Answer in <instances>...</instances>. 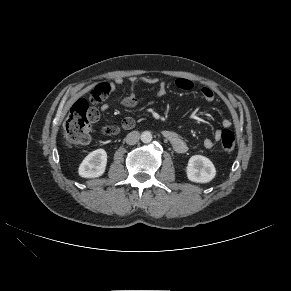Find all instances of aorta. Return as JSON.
Wrapping results in <instances>:
<instances>
[{"label": "aorta", "instance_id": "762f6f07", "mask_svg": "<svg viewBox=\"0 0 291 291\" xmlns=\"http://www.w3.org/2000/svg\"><path fill=\"white\" fill-rule=\"evenodd\" d=\"M140 137L143 143H150L152 141V134L149 131H144Z\"/></svg>", "mask_w": 291, "mask_h": 291}]
</instances>
